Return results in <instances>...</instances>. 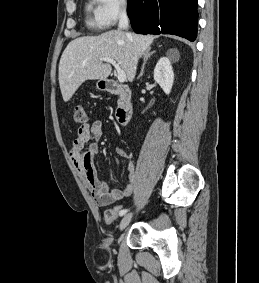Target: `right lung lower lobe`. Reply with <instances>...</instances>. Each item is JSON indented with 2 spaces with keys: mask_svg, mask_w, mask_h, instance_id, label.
<instances>
[{
  "mask_svg": "<svg viewBox=\"0 0 259 283\" xmlns=\"http://www.w3.org/2000/svg\"><path fill=\"white\" fill-rule=\"evenodd\" d=\"M127 12L136 33L196 39L197 0H128Z\"/></svg>",
  "mask_w": 259,
  "mask_h": 283,
  "instance_id": "right-lung-lower-lobe-1",
  "label": "right lung lower lobe"
}]
</instances>
